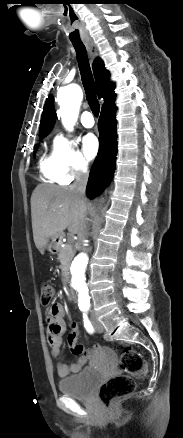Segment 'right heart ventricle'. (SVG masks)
<instances>
[{"instance_id":"obj_1","label":"right heart ventricle","mask_w":183,"mask_h":438,"mask_svg":"<svg viewBox=\"0 0 183 438\" xmlns=\"http://www.w3.org/2000/svg\"><path fill=\"white\" fill-rule=\"evenodd\" d=\"M40 169L45 177L51 181H57L53 170V154L44 155L40 160Z\"/></svg>"}]
</instances>
